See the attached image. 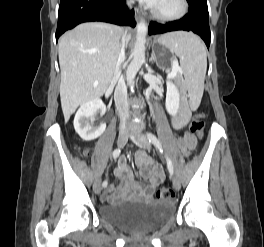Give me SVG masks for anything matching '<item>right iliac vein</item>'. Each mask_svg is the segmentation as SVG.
Returning a JSON list of instances; mask_svg holds the SVG:
<instances>
[{"instance_id": "1", "label": "right iliac vein", "mask_w": 264, "mask_h": 247, "mask_svg": "<svg viewBox=\"0 0 264 247\" xmlns=\"http://www.w3.org/2000/svg\"><path fill=\"white\" fill-rule=\"evenodd\" d=\"M128 140V131H121L118 135V139H117V144L119 147H123ZM94 191L95 193L99 194L101 192V183L100 180H96L95 184H94Z\"/></svg>"}]
</instances>
